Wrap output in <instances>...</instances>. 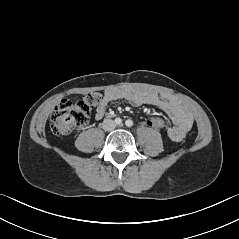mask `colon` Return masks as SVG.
I'll use <instances>...</instances> for the list:
<instances>
[{
    "label": "colon",
    "mask_w": 239,
    "mask_h": 239,
    "mask_svg": "<svg viewBox=\"0 0 239 239\" xmlns=\"http://www.w3.org/2000/svg\"><path fill=\"white\" fill-rule=\"evenodd\" d=\"M101 98V94L90 92L75 101L62 100L55 106L51 115L52 132L57 136H67L74 129L86 125L89 121L91 107L98 105ZM146 123L158 133H165L169 128V123L164 116L156 112L148 114Z\"/></svg>",
    "instance_id": "5ec220e1"
}]
</instances>
